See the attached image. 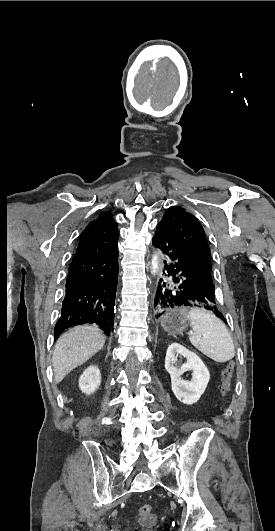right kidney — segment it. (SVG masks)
<instances>
[{"instance_id": "1", "label": "right kidney", "mask_w": 275, "mask_h": 531, "mask_svg": "<svg viewBox=\"0 0 275 531\" xmlns=\"http://www.w3.org/2000/svg\"><path fill=\"white\" fill-rule=\"evenodd\" d=\"M101 385V373L98 367H88L79 379V387L82 393L92 395Z\"/></svg>"}]
</instances>
